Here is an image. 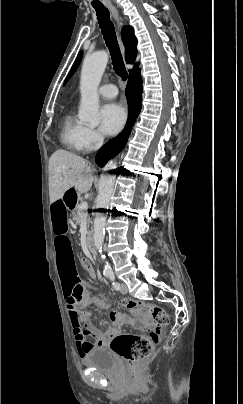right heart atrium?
I'll return each instance as SVG.
<instances>
[{
    "label": "right heart atrium",
    "mask_w": 243,
    "mask_h": 404,
    "mask_svg": "<svg viewBox=\"0 0 243 404\" xmlns=\"http://www.w3.org/2000/svg\"><path fill=\"white\" fill-rule=\"evenodd\" d=\"M103 144L102 135L91 127H83L79 139V151L89 152L99 149Z\"/></svg>",
    "instance_id": "1"
}]
</instances>
